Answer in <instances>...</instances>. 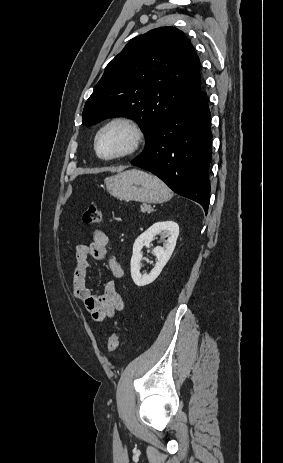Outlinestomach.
<instances>
[{"mask_svg":"<svg viewBox=\"0 0 283 463\" xmlns=\"http://www.w3.org/2000/svg\"><path fill=\"white\" fill-rule=\"evenodd\" d=\"M105 184L109 193L121 201L161 203L172 196L158 177L138 169L110 176L105 179Z\"/></svg>","mask_w":283,"mask_h":463,"instance_id":"stomach-1","label":"stomach"}]
</instances>
